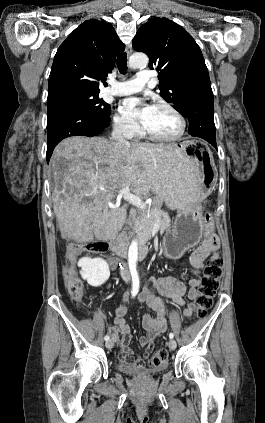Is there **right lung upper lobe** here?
<instances>
[{"instance_id": "right-lung-upper-lobe-1", "label": "right lung upper lobe", "mask_w": 265, "mask_h": 423, "mask_svg": "<svg viewBox=\"0 0 265 423\" xmlns=\"http://www.w3.org/2000/svg\"><path fill=\"white\" fill-rule=\"evenodd\" d=\"M124 49L111 24L96 19L83 22L57 50L48 97L71 90L99 92V81L112 71Z\"/></svg>"}]
</instances>
